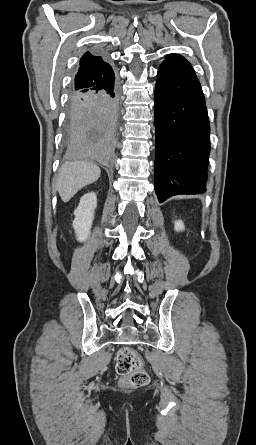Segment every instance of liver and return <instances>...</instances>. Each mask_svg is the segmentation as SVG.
<instances>
[{"mask_svg":"<svg viewBox=\"0 0 256 445\" xmlns=\"http://www.w3.org/2000/svg\"><path fill=\"white\" fill-rule=\"evenodd\" d=\"M100 174L93 162H66L59 170L55 187L62 201L68 202L81 188L97 181Z\"/></svg>","mask_w":256,"mask_h":445,"instance_id":"liver-1","label":"liver"}]
</instances>
